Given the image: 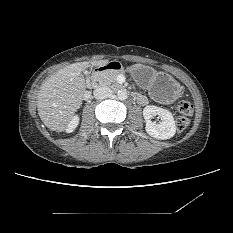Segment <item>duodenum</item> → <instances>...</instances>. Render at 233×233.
I'll return each mask as SVG.
<instances>
[{
    "label": "duodenum",
    "mask_w": 233,
    "mask_h": 233,
    "mask_svg": "<svg viewBox=\"0 0 233 233\" xmlns=\"http://www.w3.org/2000/svg\"><path fill=\"white\" fill-rule=\"evenodd\" d=\"M121 68V65L117 62H106L97 66L93 71L92 75L88 77L87 83L91 88H95L97 84V75L103 74L109 71L117 72ZM134 97L137 99L138 94H134Z\"/></svg>",
    "instance_id": "duodenum-1"
}]
</instances>
